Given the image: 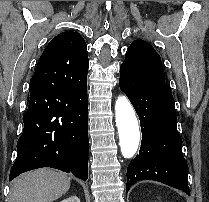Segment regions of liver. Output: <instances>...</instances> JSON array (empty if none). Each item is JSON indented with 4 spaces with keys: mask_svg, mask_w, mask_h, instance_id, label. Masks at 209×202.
<instances>
[{
    "mask_svg": "<svg viewBox=\"0 0 209 202\" xmlns=\"http://www.w3.org/2000/svg\"><path fill=\"white\" fill-rule=\"evenodd\" d=\"M70 183V177L63 172H28L13 181L8 202H53L69 190Z\"/></svg>",
    "mask_w": 209,
    "mask_h": 202,
    "instance_id": "liver-1",
    "label": "liver"
}]
</instances>
